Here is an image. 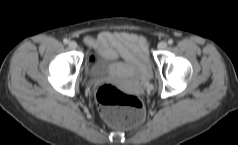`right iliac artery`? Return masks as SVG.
Masks as SVG:
<instances>
[{
  "label": "right iliac artery",
  "mask_w": 238,
  "mask_h": 145,
  "mask_svg": "<svg viewBox=\"0 0 238 145\" xmlns=\"http://www.w3.org/2000/svg\"><path fill=\"white\" fill-rule=\"evenodd\" d=\"M63 42H64V44H67V43H68V39L65 38V39L63 40Z\"/></svg>",
  "instance_id": "82829eb1"
}]
</instances>
